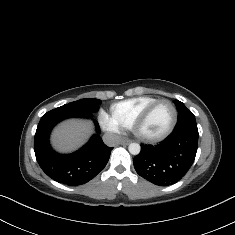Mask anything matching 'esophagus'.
<instances>
[{"instance_id":"1","label":"esophagus","mask_w":235,"mask_h":235,"mask_svg":"<svg viewBox=\"0 0 235 235\" xmlns=\"http://www.w3.org/2000/svg\"><path fill=\"white\" fill-rule=\"evenodd\" d=\"M131 142H132V140H130V139H122L121 142H120V144H121V145H128V144H130Z\"/></svg>"}]
</instances>
